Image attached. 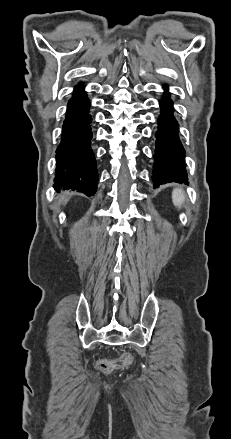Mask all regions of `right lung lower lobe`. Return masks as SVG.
Listing matches in <instances>:
<instances>
[{
	"instance_id": "1",
	"label": "right lung lower lobe",
	"mask_w": 231,
	"mask_h": 439,
	"mask_svg": "<svg viewBox=\"0 0 231 439\" xmlns=\"http://www.w3.org/2000/svg\"><path fill=\"white\" fill-rule=\"evenodd\" d=\"M89 107L90 102L84 88L79 84L69 100L61 142L56 150L54 186L92 196L97 190L98 174L91 149Z\"/></svg>"
}]
</instances>
